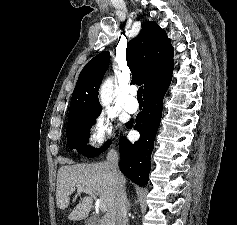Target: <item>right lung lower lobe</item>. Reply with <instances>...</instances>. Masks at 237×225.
Listing matches in <instances>:
<instances>
[{
    "mask_svg": "<svg viewBox=\"0 0 237 225\" xmlns=\"http://www.w3.org/2000/svg\"><path fill=\"white\" fill-rule=\"evenodd\" d=\"M170 82L171 79L164 81L144 93L145 107L137 115L134 126L141 134L140 139L133 144L125 136L119 139L120 170L140 186L148 184L154 139L161 121L163 98ZM132 126L133 121L126 124L127 128Z\"/></svg>",
    "mask_w": 237,
    "mask_h": 225,
    "instance_id": "obj_1",
    "label": "right lung lower lobe"
}]
</instances>
